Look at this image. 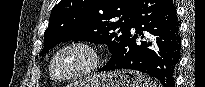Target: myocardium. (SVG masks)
I'll return each mask as SVG.
<instances>
[{
    "label": "myocardium",
    "instance_id": "obj_1",
    "mask_svg": "<svg viewBox=\"0 0 205 87\" xmlns=\"http://www.w3.org/2000/svg\"><path fill=\"white\" fill-rule=\"evenodd\" d=\"M70 49H78V50L85 52L87 57H88V61L80 69H78V70H76L68 75H65L62 77H57L54 74V69H53L54 62H55L56 58L62 52L66 51V50H70ZM100 64H101V55H100L99 50L96 48V46H94L92 43L84 41V40H74V41L64 43L63 45L59 46L53 52V54L51 55V58L49 60L48 70H49V74H50L52 79L59 81V82H68V81L83 78V77H86V76L92 74L93 72H95L98 69Z\"/></svg>",
    "mask_w": 205,
    "mask_h": 87
}]
</instances>
